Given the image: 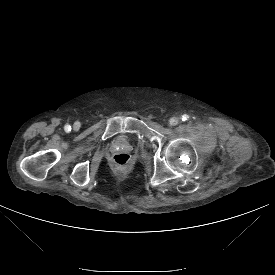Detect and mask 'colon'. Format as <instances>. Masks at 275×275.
<instances>
[{
	"mask_svg": "<svg viewBox=\"0 0 275 275\" xmlns=\"http://www.w3.org/2000/svg\"><path fill=\"white\" fill-rule=\"evenodd\" d=\"M112 162L117 167H126L130 163V156L126 153H118L112 157Z\"/></svg>",
	"mask_w": 275,
	"mask_h": 275,
	"instance_id": "1",
	"label": "colon"
}]
</instances>
